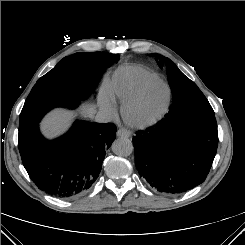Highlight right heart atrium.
<instances>
[{
    "label": "right heart atrium",
    "mask_w": 245,
    "mask_h": 245,
    "mask_svg": "<svg viewBox=\"0 0 245 245\" xmlns=\"http://www.w3.org/2000/svg\"><path fill=\"white\" fill-rule=\"evenodd\" d=\"M100 106L101 108L108 114L113 115L116 112V105L115 102L112 98V96L107 93L104 92L101 96H100Z\"/></svg>",
    "instance_id": "right-heart-atrium-1"
}]
</instances>
